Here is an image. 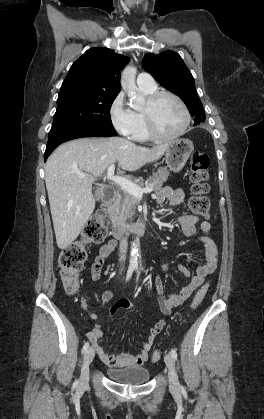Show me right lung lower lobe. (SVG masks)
I'll return each instance as SVG.
<instances>
[{
	"instance_id": "obj_1",
	"label": "right lung lower lobe",
	"mask_w": 264,
	"mask_h": 419,
	"mask_svg": "<svg viewBox=\"0 0 264 419\" xmlns=\"http://www.w3.org/2000/svg\"><path fill=\"white\" fill-rule=\"evenodd\" d=\"M115 135H117L115 131H108L96 128H82L73 130L64 134L63 136L54 141L48 142L44 155V160L46 161L48 156L52 153V151L63 142L82 137H111Z\"/></svg>"
}]
</instances>
